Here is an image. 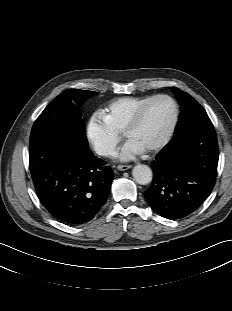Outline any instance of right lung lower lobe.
I'll return each mask as SVG.
<instances>
[{"label":"right lung lower lobe","mask_w":232,"mask_h":311,"mask_svg":"<svg viewBox=\"0 0 232 311\" xmlns=\"http://www.w3.org/2000/svg\"><path fill=\"white\" fill-rule=\"evenodd\" d=\"M30 170L39 200L70 225L92 220L106 202L112 169L68 135L30 141Z\"/></svg>","instance_id":"98d812e1"}]
</instances>
